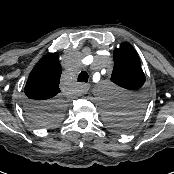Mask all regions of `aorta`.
Segmentation results:
<instances>
[{
    "mask_svg": "<svg viewBox=\"0 0 174 174\" xmlns=\"http://www.w3.org/2000/svg\"><path fill=\"white\" fill-rule=\"evenodd\" d=\"M113 88L109 85H101L98 88V98L103 106L108 107L113 103Z\"/></svg>",
    "mask_w": 174,
    "mask_h": 174,
    "instance_id": "1",
    "label": "aorta"
}]
</instances>
